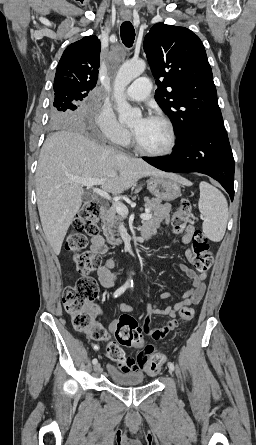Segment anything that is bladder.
I'll use <instances>...</instances> for the list:
<instances>
[{
	"mask_svg": "<svg viewBox=\"0 0 256 445\" xmlns=\"http://www.w3.org/2000/svg\"><path fill=\"white\" fill-rule=\"evenodd\" d=\"M108 374L111 381L118 385H141L145 381L141 372L123 371L112 366L108 367Z\"/></svg>",
	"mask_w": 256,
	"mask_h": 445,
	"instance_id": "31cf9c89",
	"label": "bladder"
}]
</instances>
